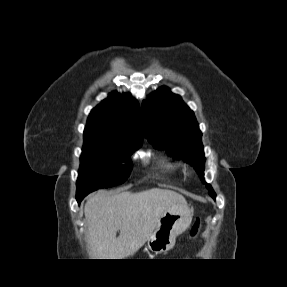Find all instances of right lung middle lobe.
Here are the masks:
<instances>
[{"label":"right lung middle lobe","mask_w":287,"mask_h":287,"mask_svg":"<svg viewBox=\"0 0 287 287\" xmlns=\"http://www.w3.org/2000/svg\"><path fill=\"white\" fill-rule=\"evenodd\" d=\"M141 145L84 138L76 196L125 182L132 168L127 159Z\"/></svg>","instance_id":"right-lung-middle-lobe-1"}]
</instances>
